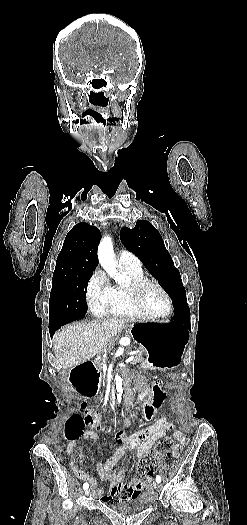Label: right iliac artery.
<instances>
[{"label": "right iliac artery", "mask_w": 247, "mask_h": 525, "mask_svg": "<svg viewBox=\"0 0 247 525\" xmlns=\"http://www.w3.org/2000/svg\"><path fill=\"white\" fill-rule=\"evenodd\" d=\"M88 487H89V484H88L87 482L84 483V485H83V489L86 490V489H88Z\"/></svg>", "instance_id": "1"}]
</instances>
